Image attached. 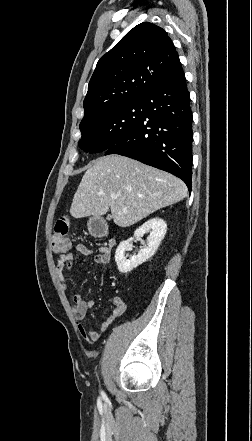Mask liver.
<instances>
[{
  "mask_svg": "<svg viewBox=\"0 0 252 441\" xmlns=\"http://www.w3.org/2000/svg\"><path fill=\"white\" fill-rule=\"evenodd\" d=\"M187 191L185 183L170 173L128 157L108 155L96 159L83 175L70 214L74 218L102 216L110 207L114 223L129 227L183 200Z\"/></svg>",
  "mask_w": 252,
  "mask_h": 441,
  "instance_id": "obj_1",
  "label": "liver"
}]
</instances>
